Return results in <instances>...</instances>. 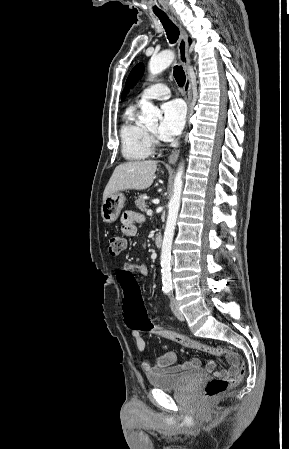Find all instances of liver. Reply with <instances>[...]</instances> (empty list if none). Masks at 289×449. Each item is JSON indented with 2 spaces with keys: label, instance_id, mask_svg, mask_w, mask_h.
Segmentation results:
<instances>
[{
  "label": "liver",
  "instance_id": "liver-1",
  "mask_svg": "<svg viewBox=\"0 0 289 449\" xmlns=\"http://www.w3.org/2000/svg\"><path fill=\"white\" fill-rule=\"evenodd\" d=\"M157 161H130L118 165L103 193V201L111 194L119 191L133 189L144 190L151 186Z\"/></svg>",
  "mask_w": 289,
  "mask_h": 449
}]
</instances>
